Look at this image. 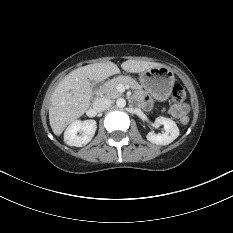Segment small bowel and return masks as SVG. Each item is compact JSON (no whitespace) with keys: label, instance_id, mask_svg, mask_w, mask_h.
I'll return each mask as SVG.
<instances>
[{"label":"small bowel","instance_id":"c3829d8e","mask_svg":"<svg viewBox=\"0 0 233 233\" xmlns=\"http://www.w3.org/2000/svg\"><path fill=\"white\" fill-rule=\"evenodd\" d=\"M139 99L141 100V102L143 103L144 106L149 105V98L147 96H145L144 94H142V93L139 94ZM169 113L175 117H181L187 113V107L183 106V105L182 106H175L169 110Z\"/></svg>","mask_w":233,"mask_h":233}]
</instances>
